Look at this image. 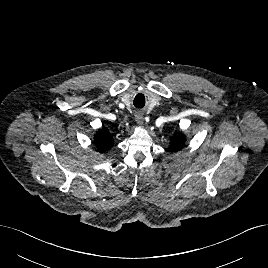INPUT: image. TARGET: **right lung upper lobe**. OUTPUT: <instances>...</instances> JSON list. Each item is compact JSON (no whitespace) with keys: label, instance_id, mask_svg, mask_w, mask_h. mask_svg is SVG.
Returning <instances> with one entry per match:
<instances>
[{"label":"right lung upper lobe","instance_id":"1","mask_svg":"<svg viewBox=\"0 0 268 268\" xmlns=\"http://www.w3.org/2000/svg\"><path fill=\"white\" fill-rule=\"evenodd\" d=\"M94 143L98 150L104 153L113 146L112 135L105 129H100L94 136Z\"/></svg>","mask_w":268,"mask_h":268}]
</instances>
